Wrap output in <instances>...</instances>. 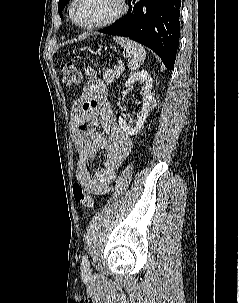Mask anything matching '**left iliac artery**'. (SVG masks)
<instances>
[{"label":"left iliac artery","mask_w":239,"mask_h":303,"mask_svg":"<svg viewBox=\"0 0 239 303\" xmlns=\"http://www.w3.org/2000/svg\"><path fill=\"white\" fill-rule=\"evenodd\" d=\"M83 268H88L89 267V262H88V257L87 255H84L82 257V263H81Z\"/></svg>","instance_id":"44dca946"}]
</instances>
